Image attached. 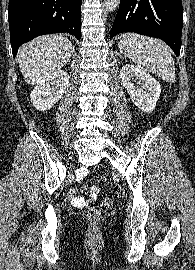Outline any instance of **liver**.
<instances>
[{"label": "liver", "instance_id": "6515ba94", "mask_svg": "<svg viewBox=\"0 0 195 270\" xmlns=\"http://www.w3.org/2000/svg\"><path fill=\"white\" fill-rule=\"evenodd\" d=\"M74 47L62 35H45L22 45L18 63L24 80L34 85L60 70L68 62Z\"/></svg>", "mask_w": 195, "mask_h": 270}]
</instances>
